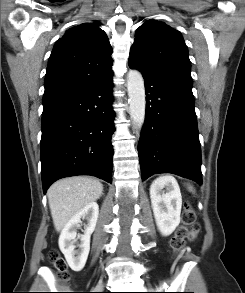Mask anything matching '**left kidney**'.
<instances>
[{
    "label": "left kidney",
    "mask_w": 245,
    "mask_h": 293,
    "mask_svg": "<svg viewBox=\"0 0 245 293\" xmlns=\"http://www.w3.org/2000/svg\"><path fill=\"white\" fill-rule=\"evenodd\" d=\"M166 189V192L163 189ZM151 205L156 225L162 235L168 236L180 223L182 196L177 181L171 176H162L150 186Z\"/></svg>",
    "instance_id": "5707ae66"
}]
</instances>
